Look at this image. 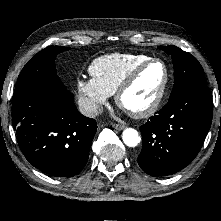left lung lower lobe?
<instances>
[{
	"instance_id": "1",
	"label": "left lung lower lobe",
	"mask_w": 221,
	"mask_h": 221,
	"mask_svg": "<svg viewBox=\"0 0 221 221\" xmlns=\"http://www.w3.org/2000/svg\"><path fill=\"white\" fill-rule=\"evenodd\" d=\"M212 114L207 85L190 87L169 99L140 127L142 170L151 176H167L189 165L210 129Z\"/></svg>"
}]
</instances>
